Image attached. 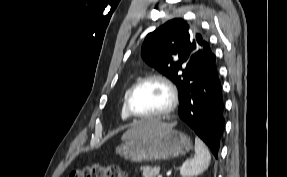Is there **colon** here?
<instances>
[{"label": "colon", "mask_w": 287, "mask_h": 177, "mask_svg": "<svg viewBox=\"0 0 287 177\" xmlns=\"http://www.w3.org/2000/svg\"><path fill=\"white\" fill-rule=\"evenodd\" d=\"M69 177H127L126 173L116 164H92L71 172Z\"/></svg>", "instance_id": "5ec220e1"}]
</instances>
